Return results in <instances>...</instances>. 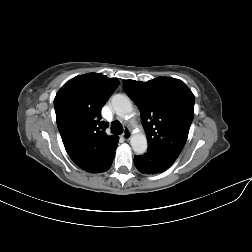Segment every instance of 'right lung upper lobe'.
<instances>
[{"label": "right lung upper lobe", "instance_id": "right-lung-upper-lobe-1", "mask_svg": "<svg viewBox=\"0 0 252 252\" xmlns=\"http://www.w3.org/2000/svg\"><path fill=\"white\" fill-rule=\"evenodd\" d=\"M119 81L101 74L69 80L54 99L57 126L70 158L83 170L101 173L112 163L117 136H108L100 111Z\"/></svg>", "mask_w": 252, "mask_h": 252}]
</instances>
